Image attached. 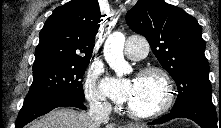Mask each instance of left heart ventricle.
Wrapping results in <instances>:
<instances>
[{
  "label": "left heart ventricle",
  "instance_id": "obj_1",
  "mask_svg": "<svg viewBox=\"0 0 221 128\" xmlns=\"http://www.w3.org/2000/svg\"><path fill=\"white\" fill-rule=\"evenodd\" d=\"M162 94V85L155 76L138 79V86L128 105L134 110L150 109Z\"/></svg>",
  "mask_w": 221,
  "mask_h": 128
}]
</instances>
